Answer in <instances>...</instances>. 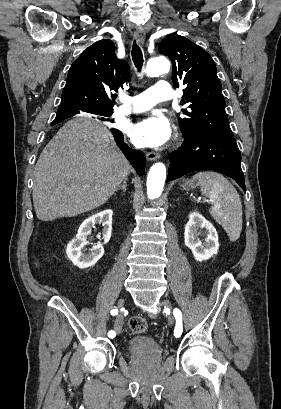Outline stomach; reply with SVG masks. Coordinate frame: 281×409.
Masks as SVG:
<instances>
[{
    "instance_id": "1",
    "label": "stomach",
    "mask_w": 281,
    "mask_h": 409,
    "mask_svg": "<svg viewBox=\"0 0 281 409\" xmlns=\"http://www.w3.org/2000/svg\"><path fill=\"white\" fill-rule=\"evenodd\" d=\"M181 186H184V188H189V186H194L193 180H187V182H184V184H181Z\"/></svg>"
}]
</instances>
